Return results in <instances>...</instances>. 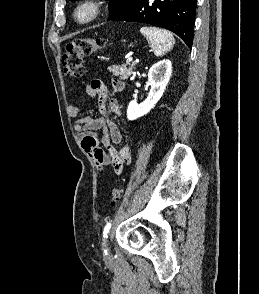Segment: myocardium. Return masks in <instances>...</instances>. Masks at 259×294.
<instances>
[{
  "mask_svg": "<svg viewBox=\"0 0 259 294\" xmlns=\"http://www.w3.org/2000/svg\"><path fill=\"white\" fill-rule=\"evenodd\" d=\"M103 12L100 0H84L74 11V20L81 25L88 24L97 19Z\"/></svg>",
  "mask_w": 259,
  "mask_h": 294,
  "instance_id": "f54148a6",
  "label": "myocardium"
}]
</instances>
